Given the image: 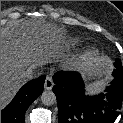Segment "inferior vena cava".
Instances as JSON below:
<instances>
[{
  "instance_id": "inferior-vena-cava-1",
  "label": "inferior vena cava",
  "mask_w": 123,
  "mask_h": 123,
  "mask_svg": "<svg viewBox=\"0 0 123 123\" xmlns=\"http://www.w3.org/2000/svg\"><path fill=\"white\" fill-rule=\"evenodd\" d=\"M38 65H31L23 74V77L26 79H33L36 76L35 71L37 70Z\"/></svg>"
}]
</instances>
